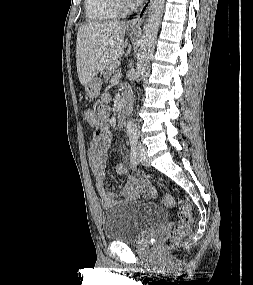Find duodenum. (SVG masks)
<instances>
[{"mask_svg":"<svg viewBox=\"0 0 253 285\" xmlns=\"http://www.w3.org/2000/svg\"><path fill=\"white\" fill-rule=\"evenodd\" d=\"M118 113L116 118V125L118 128H121L124 125L126 117L129 113V99L124 97L120 104L118 105Z\"/></svg>","mask_w":253,"mask_h":285,"instance_id":"duodenum-1","label":"duodenum"}]
</instances>
